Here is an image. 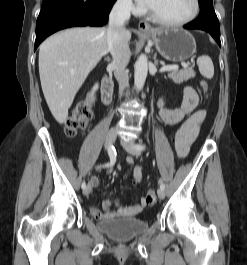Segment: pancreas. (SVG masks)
Returning a JSON list of instances; mask_svg holds the SVG:
<instances>
[{"mask_svg":"<svg viewBox=\"0 0 247 265\" xmlns=\"http://www.w3.org/2000/svg\"><path fill=\"white\" fill-rule=\"evenodd\" d=\"M195 75L193 68L188 66L181 70H170L168 77L175 83L180 84L195 77Z\"/></svg>","mask_w":247,"mask_h":265,"instance_id":"1","label":"pancreas"}]
</instances>
